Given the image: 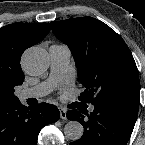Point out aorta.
I'll use <instances>...</instances> for the list:
<instances>
[{
  "mask_svg": "<svg viewBox=\"0 0 145 145\" xmlns=\"http://www.w3.org/2000/svg\"><path fill=\"white\" fill-rule=\"evenodd\" d=\"M22 67L30 75H40L49 67L47 52L39 47L27 49L21 59ZM84 133V128L78 121H69L64 127L65 136L72 140H79Z\"/></svg>",
  "mask_w": 145,
  "mask_h": 145,
  "instance_id": "762f6f07",
  "label": "aorta"
}]
</instances>
